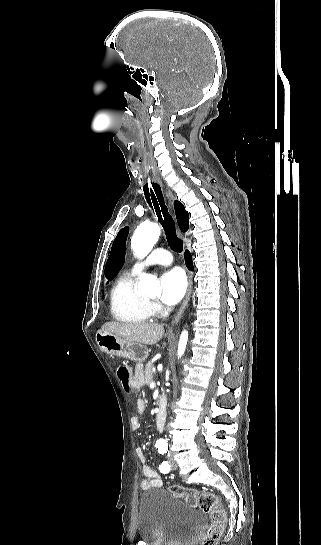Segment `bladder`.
I'll return each instance as SVG.
<instances>
[{"label":"bladder","instance_id":"1","mask_svg":"<svg viewBox=\"0 0 321 545\" xmlns=\"http://www.w3.org/2000/svg\"><path fill=\"white\" fill-rule=\"evenodd\" d=\"M205 516L163 488H150L139 502L138 533L147 545H191Z\"/></svg>","mask_w":321,"mask_h":545}]
</instances>
